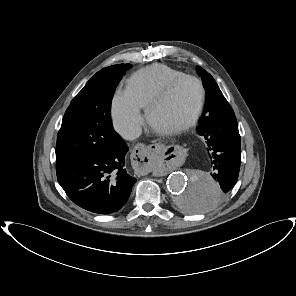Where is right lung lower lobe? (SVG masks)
<instances>
[{
  "instance_id": "1",
  "label": "right lung lower lobe",
  "mask_w": 296,
  "mask_h": 296,
  "mask_svg": "<svg viewBox=\"0 0 296 296\" xmlns=\"http://www.w3.org/2000/svg\"><path fill=\"white\" fill-rule=\"evenodd\" d=\"M128 146L99 151L56 164L57 179L67 196L96 214H113L126 204L136 178L127 173Z\"/></svg>"
}]
</instances>
